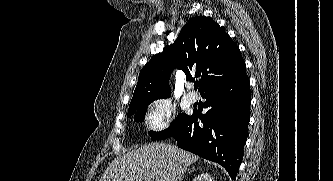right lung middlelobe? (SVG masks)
I'll return each mask as SVG.
<instances>
[{"label":"right lung middle lobe","instance_id":"dd1d6c3e","mask_svg":"<svg viewBox=\"0 0 333 181\" xmlns=\"http://www.w3.org/2000/svg\"><path fill=\"white\" fill-rule=\"evenodd\" d=\"M153 102V100L150 101H145L137 106H134L132 108L129 109L128 111V115L127 117H131L132 115L135 116V120L136 121H141L144 119L146 110H147V106ZM188 115L186 114H179L177 116V118L173 121V123L171 124L170 127H168L167 129H165L164 131H160V132H154V131H150L149 135L151 137V139L153 140H162L165 138H168L170 136H172L175 131L177 130V128L179 127V125L182 123V121L187 117Z\"/></svg>","mask_w":333,"mask_h":181}]
</instances>
